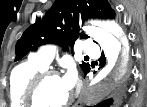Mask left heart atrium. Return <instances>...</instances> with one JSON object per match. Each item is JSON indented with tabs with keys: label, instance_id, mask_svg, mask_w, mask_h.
<instances>
[{
	"label": "left heart atrium",
	"instance_id": "39dd6f15",
	"mask_svg": "<svg viewBox=\"0 0 147 107\" xmlns=\"http://www.w3.org/2000/svg\"><path fill=\"white\" fill-rule=\"evenodd\" d=\"M62 82L68 92H70L74 85H75V75L72 71L68 72L65 76L62 78Z\"/></svg>",
	"mask_w": 147,
	"mask_h": 107
}]
</instances>
